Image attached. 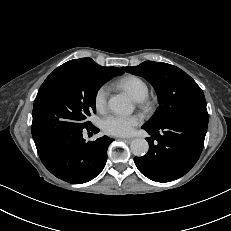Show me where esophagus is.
<instances>
[{"label": "esophagus", "mask_w": 231, "mask_h": 231, "mask_svg": "<svg viewBox=\"0 0 231 231\" xmlns=\"http://www.w3.org/2000/svg\"><path fill=\"white\" fill-rule=\"evenodd\" d=\"M121 140L127 141V142H131V141H132V138H121Z\"/></svg>", "instance_id": "1"}]
</instances>
